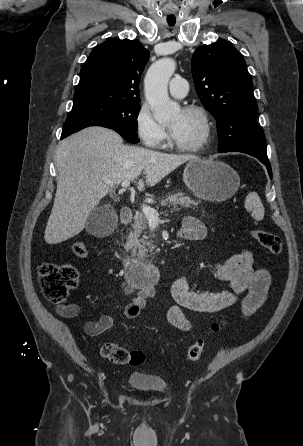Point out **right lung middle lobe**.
<instances>
[{"label":"right lung middle lobe","instance_id":"obj_1","mask_svg":"<svg viewBox=\"0 0 303 446\" xmlns=\"http://www.w3.org/2000/svg\"><path fill=\"white\" fill-rule=\"evenodd\" d=\"M139 103L110 101L72 108L61 134L62 138L89 126H103L118 132L125 140L137 143Z\"/></svg>","mask_w":303,"mask_h":446}]
</instances>
